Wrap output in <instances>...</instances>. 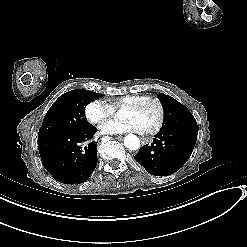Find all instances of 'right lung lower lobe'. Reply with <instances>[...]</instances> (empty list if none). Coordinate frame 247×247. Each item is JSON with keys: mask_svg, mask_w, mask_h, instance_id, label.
I'll return each mask as SVG.
<instances>
[{"mask_svg": "<svg viewBox=\"0 0 247 247\" xmlns=\"http://www.w3.org/2000/svg\"><path fill=\"white\" fill-rule=\"evenodd\" d=\"M97 129L90 125L79 131L50 133L38 137V149L45 169L61 183L85 182L97 165V145L81 143L91 139Z\"/></svg>", "mask_w": 247, "mask_h": 247, "instance_id": "98d812e1", "label": "right lung lower lobe"}]
</instances>
